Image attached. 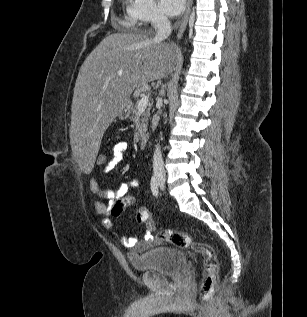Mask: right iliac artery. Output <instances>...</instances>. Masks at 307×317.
I'll use <instances>...</instances> for the list:
<instances>
[{
  "label": "right iliac artery",
  "mask_w": 307,
  "mask_h": 317,
  "mask_svg": "<svg viewBox=\"0 0 307 317\" xmlns=\"http://www.w3.org/2000/svg\"><path fill=\"white\" fill-rule=\"evenodd\" d=\"M151 191L155 197L158 196L159 189H158V182L156 175H153L150 182Z\"/></svg>",
  "instance_id": "1"
}]
</instances>
